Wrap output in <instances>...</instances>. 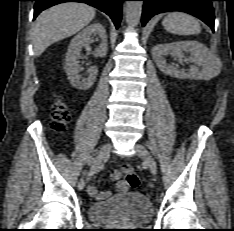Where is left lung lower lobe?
<instances>
[{
  "instance_id": "left-lung-lower-lobe-1",
  "label": "left lung lower lobe",
  "mask_w": 234,
  "mask_h": 231,
  "mask_svg": "<svg viewBox=\"0 0 234 231\" xmlns=\"http://www.w3.org/2000/svg\"><path fill=\"white\" fill-rule=\"evenodd\" d=\"M144 1L142 25L154 15L168 11H183L194 15L209 25L214 31V10L212 1L215 0H141Z\"/></svg>"
}]
</instances>
